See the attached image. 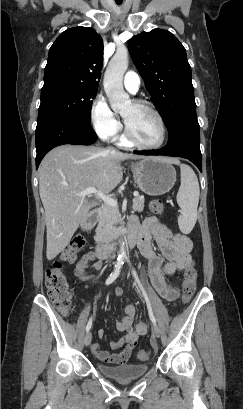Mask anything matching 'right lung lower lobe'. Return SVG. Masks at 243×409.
Instances as JSON below:
<instances>
[{
    "label": "right lung lower lobe",
    "instance_id": "98d812e1",
    "mask_svg": "<svg viewBox=\"0 0 243 409\" xmlns=\"http://www.w3.org/2000/svg\"><path fill=\"white\" fill-rule=\"evenodd\" d=\"M97 140L91 125L60 118L48 119L36 127V168L47 152L63 144L90 145Z\"/></svg>",
    "mask_w": 243,
    "mask_h": 409
}]
</instances>
